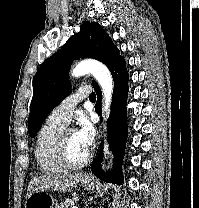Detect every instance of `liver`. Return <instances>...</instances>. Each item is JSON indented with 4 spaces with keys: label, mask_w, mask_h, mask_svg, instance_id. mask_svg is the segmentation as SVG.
<instances>
[{
    "label": "liver",
    "mask_w": 199,
    "mask_h": 208,
    "mask_svg": "<svg viewBox=\"0 0 199 208\" xmlns=\"http://www.w3.org/2000/svg\"><path fill=\"white\" fill-rule=\"evenodd\" d=\"M80 181L79 174L64 175H42L30 180L26 199L32 194L43 190H54L59 192L71 191Z\"/></svg>",
    "instance_id": "6515ba94"
}]
</instances>
